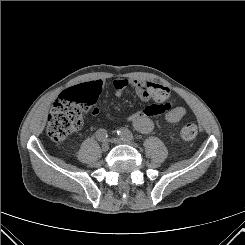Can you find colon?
Returning <instances> with one entry per match:
<instances>
[{"label": "colon", "instance_id": "obj_1", "mask_svg": "<svg viewBox=\"0 0 245 245\" xmlns=\"http://www.w3.org/2000/svg\"><path fill=\"white\" fill-rule=\"evenodd\" d=\"M100 91L101 85L98 82L79 84L63 91L49 114V137L54 141H61L79 130L83 122L82 112L96 103ZM197 133L194 123H186L180 130L184 140H193Z\"/></svg>", "mask_w": 245, "mask_h": 245}]
</instances>
